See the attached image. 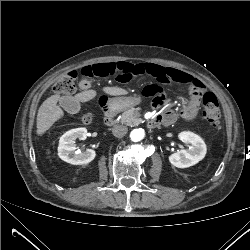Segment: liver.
Here are the masks:
<instances>
[{
	"label": "liver",
	"mask_w": 250,
	"mask_h": 250,
	"mask_svg": "<svg viewBox=\"0 0 250 250\" xmlns=\"http://www.w3.org/2000/svg\"><path fill=\"white\" fill-rule=\"evenodd\" d=\"M103 92L112 96L128 94L127 90L120 87H104ZM96 94L97 93L95 90L90 89L77 93L75 96L52 95L51 97L47 98L42 103L37 113L36 133L38 135L44 134L56 121H58L64 115L61 107L57 105L58 102L60 103L62 98H69L77 102H88L95 98Z\"/></svg>",
	"instance_id": "6515ba94"
}]
</instances>
